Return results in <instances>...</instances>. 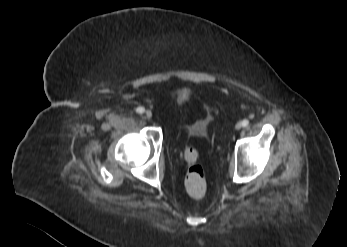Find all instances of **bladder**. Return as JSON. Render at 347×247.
Segmentation results:
<instances>
[{
    "instance_id": "1",
    "label": "bladder",
    "mask_w": 347,
    "mask_h": 247,
    "mask_svg": "<svg viewBox=\"0 0 347 247\" xmlns=\"http://www.w3.org/2000/svg\"><path fill=\"white\" fill-rule=\"evenodd\" d=\"M179 102H180V104H183V98H179Z\"/></svg>"
}]
</instances>
